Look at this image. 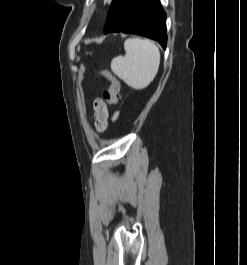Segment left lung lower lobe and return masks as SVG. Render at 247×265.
Instances as JSON below:
<instances>
[{
    "instance_id": "left-lung-lower-lobe-1",
    "label": "left lung lower lobe",
    "mask_w": 247,
    "mask_h": 265,
    "mask_svg": "<svg viewBox=\"0 0 247 265\" xmlns=\"http://www.w3.org/2000/svg\"><path fill=\"white\" fill-rule=\"evenodd\" d=\"M138 34L166 48V14L159 0H113L104 27L110 32Z\"/></svg>"
}]
</instances>
